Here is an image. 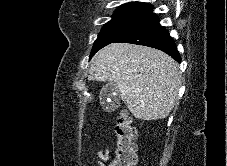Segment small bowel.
<instances>
[{
  "label": "small bowel",
  "mask_w": 227,
  "mask_h": 166,
  "mask_svg": "<svg viewBox=\"0 0 227 166\" xmlns=\"http://www.w3.org/2000/svg\"><path fill=\"white\" fill-rule=\"evenodd\" d=\"M110 158V150L108 147L99 149L95 156L92 157V161L96 166H106L105 162Z\"/></svg>",
  "instance_id": "c3829d8e"
}]
</instances>
